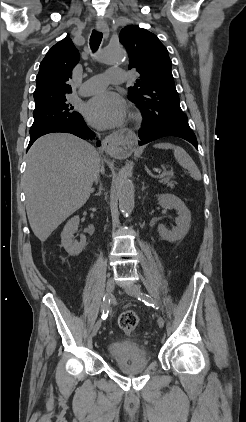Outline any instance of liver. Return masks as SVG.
<instances>
[{
	"label": "liver",
	"mask_w": 246,
	"mask_h": 422,
	"mask_svg": "<svg viewBox=\"0 0 246 422\" xmlns=\"http://www.w3.org/2000/svg\"><path fill=\"white\" fill-rule=\"evenodd\" d=\"M97 154L92 145L67 133L40 137L28 151L26 212L40 241L44 242L88 200L100 164Z\"/></svg>",
	"instance_id": "obj_1"
}]
</instances>
